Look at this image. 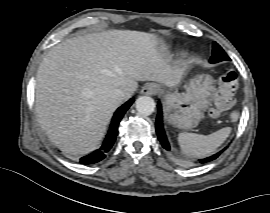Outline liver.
<instances>
[{
    "label": "liver",
    "instance_id": "6515ba94",
    "mask_svg": "<svg viewBox=\"0 0 270 213\" xmlns=\"http://www.w3.org/2000/svg\"><path fill=\"white\" fill-rule=\"evenodd\" d=\"M181 69L171 67L157 36L109 30L67 39L43 58L36 77V113L48 138L73 155L98 147L113 112L137 90V81L169 87L181 82ZM126 92L114 101L110 92Z\"/></svg>",
    "mask_w": 270,
    "mask_h": 213
}]
</instances>
